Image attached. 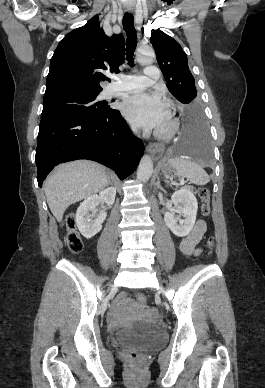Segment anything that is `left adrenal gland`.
Wrapping results in <instances>:
<instances>
[{
    "mask_svg": "<svg viewBox=\"0 0 265 388\" xmlns=\"http://www.w3.org/2000/svg\"><path fill=\"white\" fill-rule=\"evenodd\" d=\"M155 186H157V188H160V190H162V188L160 186L159 178H157V182H156Z\"/></svg>",
    "mask_w": 265,
    "mask_h": 388,
    "instance_id": "left-adrenal-gland-1",
    "label": "left adrenal gland"
}]
</instances>
